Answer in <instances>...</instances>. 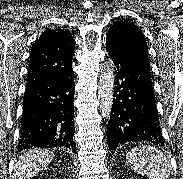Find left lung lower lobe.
<instances>
[{
    "label": "left lung lower lobe",
    "instance_id": "left-lung-lower-lobe-1",
    "mask_svg": "<svg viewBox=\"0 0 183 179\" xmlns=\"http://www.w3.org/2000/svg\"><path fill=\"white\" fill-rule=\"evenodd\" d=\"M106 49L116 72L109 148L131 141L164 144L148 62L114 36H107Z\"/></svg>",
    "mask_w": 183,
    "mask_h": 179
}]
</instances>
